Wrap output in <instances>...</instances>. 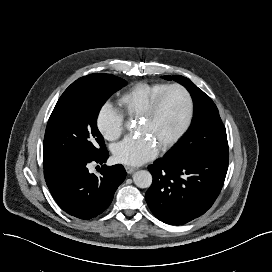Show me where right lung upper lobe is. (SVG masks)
Returning <instances> with one entry per match:
<instances>
[{"label": "right lung upper lobe", "instance_id": "cb5924a9", "mask_svg": "<svg viewBox=\"0 0 272 272\" xmlns=\"http://www.w3.org/2000/svg\"><path fill=\"white\" fill-rule=\"evenodd\" d=\"M86 77V76H85ZM82 78H84V77H82ZM82 78H80V79H78V80H76L75 82H78V81H80Z\"/></svg>", "mask_w": 272, "mask_h": 272}]
</instances>
